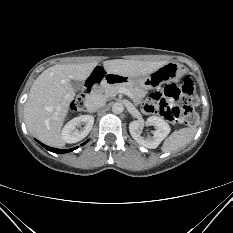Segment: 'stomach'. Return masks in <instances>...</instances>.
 Here are the masks:
<instances>
[{
  "mask_svg": "<svg viewBox=\"0 0 233 233\" xmlns=\"http://www.w3.org/2000/svg\"><path fill=\"white\" fill-rule=\"evenodd\" d=\"M185 72L186 69L182 65L174 62H168L146 76L133 78L114 74L116 75L114 79L118 84H125L132 88H146V86H150L152 84L159 86L165 82L176 81L182 77Z\"/></svg>",
  "mask_w": 233,
  "mask_h": 233,
  "instance_id": "obj_1",
  "label": "stomach"
}]
</instances>
